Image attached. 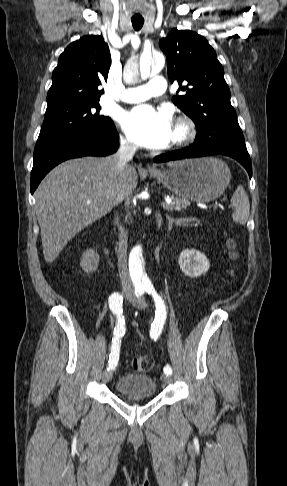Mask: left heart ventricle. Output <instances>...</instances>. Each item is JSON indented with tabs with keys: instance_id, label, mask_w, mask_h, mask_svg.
Listing matches in <instances>:
<instances>
[{
	"instance_id": "b2bd125f",
	"label": "left heart ventricle",
	"mask_w": 287,
	"mask_h": 486,
	"mask_svg": "<svg viewBox=\"0 0 287 486\" xmlns=\"http://www.w3.org/2000/svg\"><path fill=\"white\" fill-rule=\"evenodd\" d=\"M175 134H176V130H175V127H174V129H173V137L175 136Z\"/></svg>"
}]
</instances>
